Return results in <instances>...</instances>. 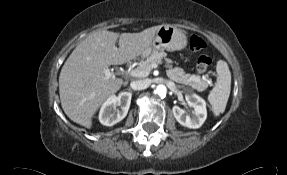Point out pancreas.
<instances>
[{"mask_svg":"<svg viewBox=\"0 0 287 175\" xmlns=\"http://www.w3.org/2000/svg\"><path fill=\"white\" fill-rule=\"evenodd\" d=\"M166 56L167 54L164 51L155 50L150 54V56L141 62L138 69L149 71L152 64H162L164 59L166 62L165 67L168 68L166 70V74L171 80L191 86L199 92L204 91L208 87L207 80L201 79V77L197 75L186 74L182 68L173 67L172 60L166 58Z\"/></svg>","mask_w":287,"mask_h":175,"instance_id":"cf45deb5","label":"pancreas"}]
</instances>
